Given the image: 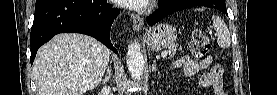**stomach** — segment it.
<instances>
[{"label": "stomach", "instance_id": "1", "mask_svg": "<svg viewBox=\"0 0 277 95\" xmlns=\"http://www.w3.org/2000/svg\"><path fill=\"white\" fill-rule=\"evenodd\" d=\"M177 38L175 28L168 24H158L148 30L146 43L149 49L159 51L171 46Z\"/></svg>", "mask_w": 277, "mask_h": 95}]
</instances>
